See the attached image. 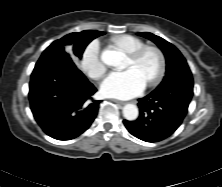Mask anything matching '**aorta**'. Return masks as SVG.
<instances>
[{"instance_id": "762f6f07", "label": "aorta", "mask_w": 222, "mask_h": 187, "mask_svg": "<svg viewBox=\"0 0 222 187\" xmlns=\"http://www.w3.org/2000/svg\"><path fill=\"white\" fill-rule=\"evenodd\" d=\"M101 60L108 66L117 67L123 60L122 53L116 50L106 49L101 54ZM139 115V111L136 105L126 104L123 107V116L129 121L136 120Z\"/></svg>"}]
</instances>
